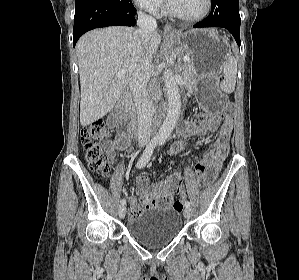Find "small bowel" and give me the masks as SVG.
<instances>
[{"mask_svg": "<svg viewBox=\"0 0 299 280\" xmlns=\"http://www.w3.org/2000/svg\"><path fill=\"white\" fill-rule=\"evenodd\" d=\"M219 128L216 121H205L195 124L193 119L183 121L178 125V134L182 140H187L196 136H203L208 132H215ZM232 132L231 120H226L219 128L218 137L209 146L202 160L208 165L209 177L214 179L222 167V163L229 151V141ZM184 144L181 143L180 146ZM129 146V139L124 134L107 144L106 149L109 156L114 157L115 150H124ZM179 146L172 149L175 152ZM137 195L140 202L135 197H129L132 208L140 207L141 210L152 207H172L175 195L185 196V186L179 173L174 172L165 181L157 184H150L146 176H137Z\"/></svg>", "mask_w": 299, "mask_h": 280, "instance_id": "obj_1", "label": "small bowel"}]
</instances>
